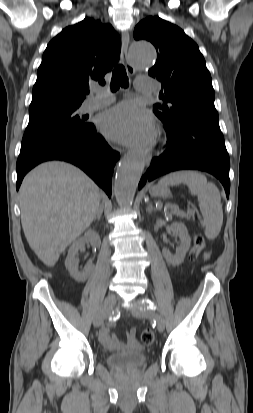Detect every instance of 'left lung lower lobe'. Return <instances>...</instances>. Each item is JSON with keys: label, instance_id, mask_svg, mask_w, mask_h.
I'll return each mask as SVG.
<instances>
[{"label": "left lung lower lobe", "instance_id": "obj_1", "mask_svg": "<svg viewBox=\"0 0 253 413\" xmlns=\"http://www.w3.org/2000/svg\"><path fill=\"white\" fill-rule=\"evenodd\" d=\"M167 149L154 158L139 189L146 181L176 170L196 169L217 177L225 188L227 198L230 191V161L219 120L190 117L167 125Z\"/></svg>", "mask_w": 253, "mask_h": 413}]
</instances>
